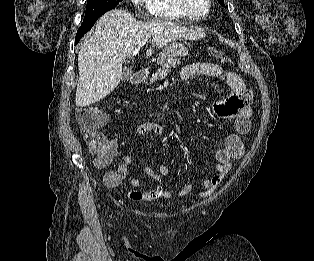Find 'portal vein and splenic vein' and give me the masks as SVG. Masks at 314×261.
<instances>
[{"label":"portal vein and splenic vein","mask_w":314,"mask_h":261,"mask_svg":"<svg viewBox=\"0 0 314 261\" xmlns=\"http://www.w3.org/2000/svg\"><path fill=\"white\" fill-rule=\"evenodd\" d=\"M147 43V40H143L140 42V44L133 50L132 55L135 56L141 47H143Z\"/></svg>","instance_id":"portal-vein-and-splenic-vein-1"}]
</instances>
